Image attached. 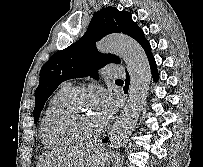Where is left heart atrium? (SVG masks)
Listing matches in <instances>:
<instances>
[{
    "label": "left heart atrium",
    "mask_w": 203,
    "mask_h": 167,
    "mask_svg": "<svg viewBox=\"0 0 203 167\" xmlns=\"http://www.w3.org/2000/svg\"><path fill=\"white\" fill-rule=\"evenodd\" d=\"M115 112V103L111 97L102 95L99 100V110L97 112L102 126L106 125Z\"/></svg>",
    "instance_id": "left-heart-atrium-1"
}]
</instances>
